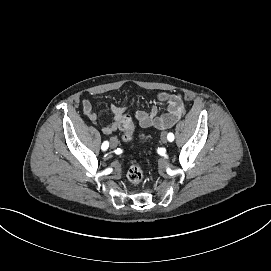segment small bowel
Listing matches in <instances>:
<instances>
[{
  "label": "small bowel",
  "instance_id": "obj_1",
  "mask_svg": "<svg viewBox=\"0 0 271 271\" xmlns=\"http://www.w3.org/2000/svg\"><path fill=\"white\" fill-rule=\"evenodd\" d=\"M157 101L167 106L164 114H159L158 107L152 106L149 111L140 110L135 113V117L143 128L154 127L157 129H166L174 125L185 113V104L181 94L160 92L157 95ZM83 114L90 120L95 121L97 114L89 100H82ZM110 111L113 120L105 124L102 128L104 134H111L119 128V124L126 113V108L111 105Z\"/></svg>",
  "mask_w": 271,
  "mask_h": 271
}]
</instances>
